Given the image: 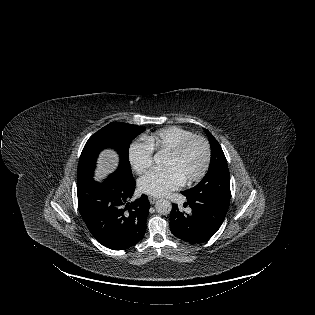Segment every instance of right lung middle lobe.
<instances>
[{
	"mask_svg": "<svg viewBox=\"0 0 315 315\" xmlns=\"http://www.w3.org/2000/svg\"><path fill=\"white\" fill-rule=\"evenodd\" d=\"M143 131V127L122 122H113L98 130L83 148L78 164L77 180L92 177L97 157L106 148L114 149L120 156L119 167L114 173L134 179L128 157L129 146L131 141Z\"/></svg>",
	"mask_w": 315,
	"mask_h": 315,
	"instance_id": "right-lung-middle-lobe-1",
	"label": "right lung middle lobe"
}]
</instances>
